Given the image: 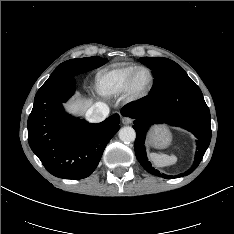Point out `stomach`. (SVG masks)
I'll return each instance as SVG.
<instances>
[{"mask_svg":"<svg viewBox=\"0 0 234 234\" xmlns=\"http://www.w3.org/2000/svg\"><path fill=\"white\" fill-rule=\"evenodd\" d=\"M171 141L172 134L165 126L154 127L149 134V144L155 148H166Z\"/></svg>","mask_w":234,"mask_h":234,"instance_id":"1","label":"stomach"}]
</instances>
